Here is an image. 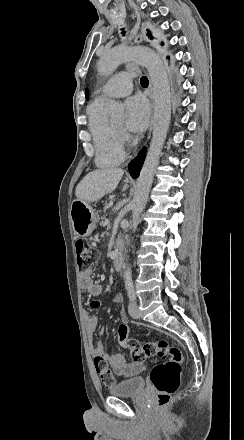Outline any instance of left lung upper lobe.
Here are the masks:
<instances>
[{"label":"left lung upper lobe","instance_id":"5c2ea615","mask_svg":"<svg viewBox=\"0 0 244 440\" xmlns=\"http://www.w3.org/2000/svg\"><path fill=\"white\" fill-rule=\"evenodd\" d=\"M147 35L152 38L151 33L148 31Z\"/></svg>","mask_w":244,"mask_h":440}]
</instances>
